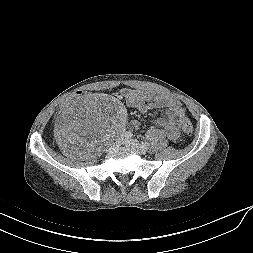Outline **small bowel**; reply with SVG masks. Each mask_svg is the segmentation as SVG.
I'll use <instances>...</instances> for the list:
<instances>
[{
	"label": "small bowel",
	"instance_id": "c3829d8e",
	"mask_svg": "<svg viewBox=\"0 0 253 253\" xmlns=\"http://www.w3.org/2000/svg\"><path fill=\"white\" fill-rule=\"evenodd\" d=\"M121 95L129 107L140 112H146L153 108L164 109L165 116L155 120L156 127L163 129L172 140L179 137V124L185 116V109L179 101L152 92L130 88L123 89ZM66 111L68 109L62 113ZM132 124L134 127L139 126L137 121H133Z\"/></svg>",
	"mask_w": 253,
	"mask_h": 253
}]
</instances>
